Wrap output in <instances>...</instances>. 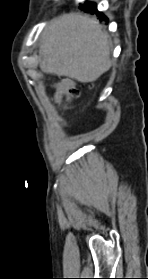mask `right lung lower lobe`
I'll use <instances>...</instances> for the list:
<instances>
[{"instance_id":"obj_1","label":"right lung lower lobe","mask_w":148,"mask_h":279,"mask_svg":"<svg viewBox=\"0 0 148 279\" xmlns=\"http://www.w3.org/2000/svg\"><path fill=\"white\" fill-rule=\"evenodd\" d=\"M80 9H82L87 13H91V14L95 13L100 17V20L108 21V19L102 13L98 12L95 3L86 2L84 5L83 4L80 5Z\"/></svg>"}]
</instances>
